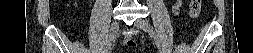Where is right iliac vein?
<instances>
[{"mask_svg": "<svg viewBox=\"0 0 253 53\" xmlns=\"http://www.w3.org/2000/svg\"><path fill=\"white\" fill-rule=\"evenodd\" d=\"M119 29V23L117 21H114L111 25L110 33H109V40H108V45L111 46L112 43L114 42L117 32ZM107 53V51H106Z\"/></svg>", "mask_w": 253, "mask_h": 53, "instance_id": "obj_1", "label": "right iliac vein"}]
</instances>
